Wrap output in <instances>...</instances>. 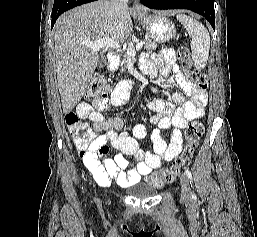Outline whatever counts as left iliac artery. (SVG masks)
I'll return each instance as SVG.
<instances>
[{
    "mask_svg": "<svg viewBox=\"0 0 257 237\" xmlns=\"http://www.w3.org/2000/svg\"><path fill=\"white\" fill-rule=\"evenodd\" d=\"M185 173H186L187 177L190 179V183H191L192 182V174H191L190 170L185 168ZM192 197H195V195L193 194Z\"/></svg>",
    "mask_w": 257,
    "mask_h": 237,
    "instance_id": "44dca946",
    "label": "left iliac artery"
}]
</instances>
